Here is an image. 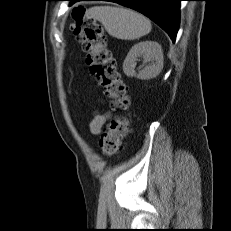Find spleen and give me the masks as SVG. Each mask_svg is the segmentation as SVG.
Listing matches in <instances>:
<instances>
[{
	"label": "spleen",
	"mask_w": 231,
	"mask_h": 231,
	"mask_svg": "<svg viewBox=\"0 0 231 231\" xmlns=\"http://www.w3.org/2000/svg\"><path fill=\"white\" fill-rule=\"evenodd\" d=\"M88 14L101 22L108 34L117 39H139L152 29L147 17L127 8L95 6L88 10Z\"/></svg>",
	"instance_id": "3e777b00"
}]
</instances>
